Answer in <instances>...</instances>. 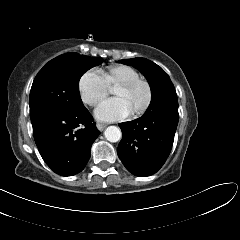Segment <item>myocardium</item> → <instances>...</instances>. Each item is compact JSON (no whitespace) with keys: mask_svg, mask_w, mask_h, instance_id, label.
Masks as SVG:
<instances>
[{"mask_svg":"<svg viewBox=\"0 0 240 240\" xmlns=\"http://www.w3.org/2000/svg\"><path fill=\"white\" fill-rule=\"evenodd\" d=\"M138 86L145 87L147 96L143 105L140 108L133 111L134 115H142L150 108L153 100V89H152L151 83L145 78H138L132 81L121 83L116 86V87H121L127 90L134 89Z\"/></svg>","mask_w":240,"mask_h":240,"instance_id":"myocardium-1","label":"myocardium"}]
</instances>
